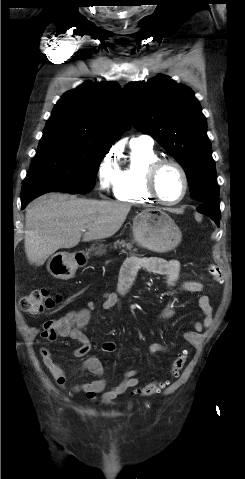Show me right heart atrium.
Returning <instances> with one entry per match:
<instances>
[{"mask_svg":"<svg viewBox=\"0 0 245 479\" xmlns=\"http://www.w3.org/2000/svg\"><path fill=\"white\" fill-rule=\"evenodd\" d=\"M118 166L115 157L107 154L100 162L97 169V184L101 192H109L114 189Z\"/></svg>","mask_w":245,"mask_h":479,"instance_id":"d8ad5b80","label":"right heart atrium"}]
</instances>
